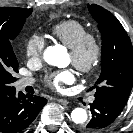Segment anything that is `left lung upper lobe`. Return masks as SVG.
<instances>
[{
	"instance_id": "5c2ea615",
	"label": "left lung upper lobe",
	"mask_w": 133,
	"mask_h": 133,
	"mask_svg": "<svg viewBox=\"0 0 133 133\" xmlns=\"http://www.w3.org/2000/svg\"><path fill=\"white\" fill-rule=\"evenodd\" d=\"M102 37L101 74L92 87L96 94L126 105L133 86V48L118 19L96 4L88 5Z\"/></svg>"
}]
</instances>
